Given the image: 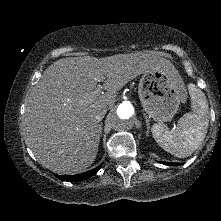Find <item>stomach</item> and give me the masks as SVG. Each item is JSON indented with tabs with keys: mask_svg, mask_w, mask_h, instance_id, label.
Returning a JSON list of instances; mask_svg holds the SVG:
<instances>
[{
	"mask_svg": "<svg viewBox=\"0 0 221 221\" xmlns=\"http://www.w3.org/2000/svg\"><path fill=\"white\" fill-rule=\"evenodd\" d=\"M138 94L145 112L160 123L170 121L187 99L184 82L175 67L143 73Z\"/></svg>",
	"mask_w": 221,
	"mask_h": 221,
	"instance_id": "stomach-1",
	"label": "stomach"
}]
</instances>
